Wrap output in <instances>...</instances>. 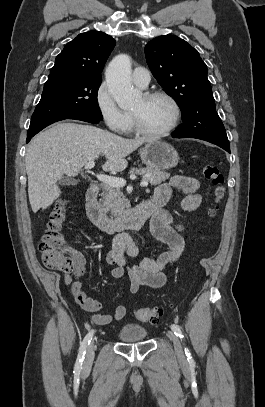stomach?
Segmentation results:
<instances>
[{"label": "stomach", "mask_w": 265, "mask_h": 407, "mask_svg": "<svg viewBox=\"0 0 265 407\" xmlns=\"http://www.w3.org/2000/svg\"><path fill=\"white\" fill-rule=\"evenodd\" d=\"M140 158L150 169L168 170L177 166L179 156L172 145L163 141H150L140 151Z\"/></svg>", "instance_id": "obj_1"}]
</instances>
